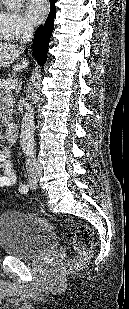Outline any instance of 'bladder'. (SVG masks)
<instances>
[{
    "instance_id": "31cf9c89",
    "label": "bladder",
    "mask_w": 129,
    "mask_h": 309,
    "mask_svg": "<svg viewBox=\"0 0 129 309\" xmlns=\"http://www.w3.org/2000/svg\"><path fill=\"white\" fill-rule=\"evenodd\" d=\"M0 247L22 259H34L57 247L55 233L31 215L8 211L0 215Z\"/></svg>"
}]
</instances>
